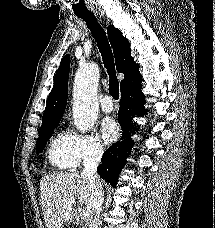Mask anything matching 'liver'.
<instances>
[{"label":"liver","mask_w":215,"mask_h":228,"mask_svg":"<svg viewBox=\"0 0 215 228\" xmlns=\"http://www.w3.org/2000/svg\"><path fill=\"white\" fill-rule=\"evenodd\" d=\"M39 190L46 228H64L74 220L75 212L79 214L72 206H67L69 198H74L75 202L85 206L84 210L88 212L89 218L93 214L89 180L79 174L43 176Z\"/></svg>","instance_id":"6515ba94"}]
</instances>
